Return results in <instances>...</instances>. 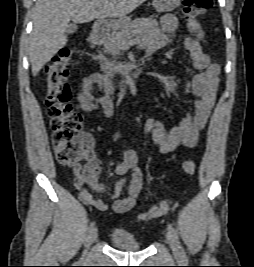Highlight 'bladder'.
I'll return each instance as SVG.
<instances>
[{
    "label": "bladder",
    "mask_w": 254,
    "mask_h": 267,
    "mask_svg": "<svg viewBox=\"0 0 254 267\" xmlns=\"http://www.w3.org/2000/svg\"><path fill=\"white\" fill-rule=\"evenodd\" d=\"M112 246L122 251H139L142 248L138 239L125 231L113 230L109 235Z\"/></svg>",
    "instance_id": "1"
}]
</instances>
